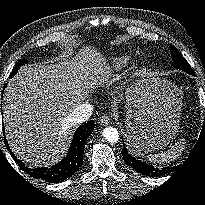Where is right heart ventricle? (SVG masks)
Instances as JSON below:
<instances>
[{
  "mask_svg": "<svg viewBox=\"0 0 205 205\" xmlns=\"http://www.w3.org/2000/svg\"><path fill=\"white\" fill-rule=\"evenodd\" d=\"M130 59L129 55L119 56L114 58V64L116 67L125 66Z\"/></svg>",
  "mask_w": 205,
  "mask_h": 205,
  "instance_id": "right-heart-ventricle-1",
  "label": "right heart ventricle"
}]
</instances>
